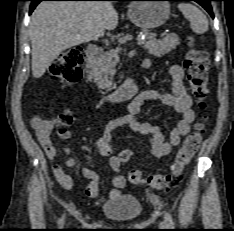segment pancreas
I'll list each match as a JSON object with an SVG mask.
<instances>
[{"mask_svg":"<svg viewBox=\"0 0 234 231\" xmlns=\"http://www.w3.org/2000/svg\"><path fill=\"white\" fill-rule=\"evenodd\" d=\"M147 41L144 48L150 55L161 57L179 45V37L175 34H167L161 40H156V35L143 31ZM119 62L118 50L100 52L90 64L89 77L94 79L99 89L110 88L112 77L115 74L114 67Z\"/></svg>","mask_w":234,"mask_h":231,"instance_id":"cf45deb5","label":"pancreas"}]
</instances>
